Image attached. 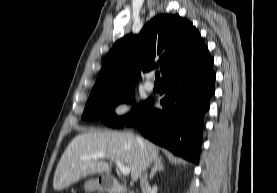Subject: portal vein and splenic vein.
Wrapping results in <instances>:
<instances>
[{
    "instance_id": "obj_1",
    "label": "portal vein and splenic vein",
    "mask_w": 277,
    "mask_h": 193,
    "mask_svg": "<svg viewBox=\"0 0 277 193\" xmlns=\"http://www.w3.org/2000/svg\"><path fill=\"white\" fill-rule=\"evenodd\" d=\"M104 157H108V155L103 153V152H97V153H94V154L89 156V158H92V159H100V158H104ZM112 160L115 161L117 167L119 168L120 172L123 175H128L130 173V168L129 167L124 166V164L122 162H120L119 160H117V159L112 158Z\"/></svg>"
}]
</instances>
